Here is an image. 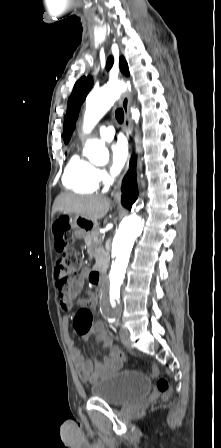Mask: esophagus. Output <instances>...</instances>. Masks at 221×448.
Segmentation results:
<instances>
[{
	"label": "esophagus",
	"instance_id": "esophagus-1",
	"mask_svg": "<svg viewBox=\"0 0 221 448\" xmlns=\"http://www.w3.org/2000/svg\"><path fill=\"white\" fill-rule=\"evenodd\" d=\"M121 104H122V108L124 111V128L127 133V136L130 137L133 132V125H132V122L130 119V113H129L130 96L128 93H124L122 95ZM120 196H121L120 185H118L114 189L113 201L115 203H120Z\"/></svg>",
	"mask_w": 221,
	"mask_h": 448
}]
</instances>
